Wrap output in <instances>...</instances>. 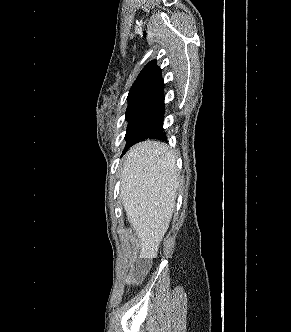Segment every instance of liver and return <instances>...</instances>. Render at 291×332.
<instances>
[{
  "instance_id": "1",
  "label": "liver",
  "mask_w": 291,
  "mask_h": 332,
  "mask_svg": "<svg viewBox=\"0 0 291 332\" xmlns=\"http://www.w3.org/2000/svg\"><path fill=\"white\" fill-rule=\"evenodd\" d=\"M121 178L122 203L139 239L140 257L155 258L175 209V153L159 141L140 142L128 151Z\"/></svg>"
}]
</instances>
